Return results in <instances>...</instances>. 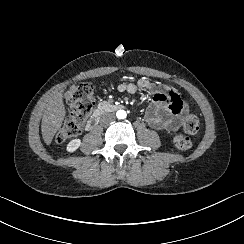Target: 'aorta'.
<instances>
[{
    "instance_id": "1",
    "label": "aorta",
    "mask_w": 244,
    "mask_h": 244,
    "mask_svg": "<svg viewBox=\"0 0 244 244\" xmlns=\"http://www.w3.org/2000/svg\"><path fill=\"white\" fill-rule=\"evenodd\" d=\"M116 116L118 119H125L126 118V112L124 110H119V111H117Z\"/></svg>"
}]
</instances>
